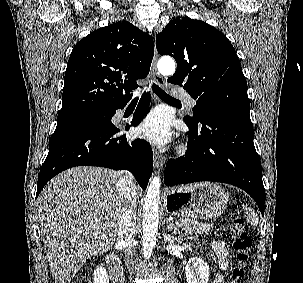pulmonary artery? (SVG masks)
I'll return each mask as SVG.
<instances>
[{
    "label": "pulmonary artery",
    "mask_w": 303,
    "mask_h": 283,
    "mask_svg": "<svg viewBox=\"0 0 303 283\" xmlns=\"http://www.w3.org/2000/svg\"><path fill=\"white\" fill-rule=\"evenodd\" d=\"M172 95L176 98L184 100L189 108H195L196 100L191 97L185 90L181 88L173 89Z\"/></svg>",
    "instance_id": "obj_1"
}]
</instances>
